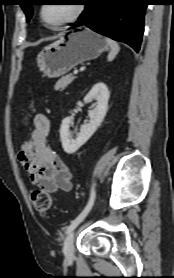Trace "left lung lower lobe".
I'll return each instance as SVG.
<instances>
[{"instance_id":"1","label":"left lung lower lobe","mask_w":174,"mask_h":278,"mask_svg":"<svg viewBox=\"0 0 174 278\" xmlns=\"http://www.w3.org/2000/svg\"><path fill=\"white\" fill-rule=\"evenodd\" d=\"M85 10L72 28L87 26L95 32L140 50L147 0H85Z\"/></svg>"}]
</instances>
